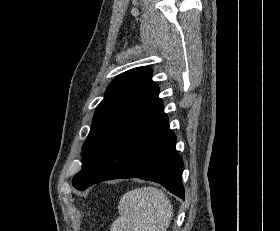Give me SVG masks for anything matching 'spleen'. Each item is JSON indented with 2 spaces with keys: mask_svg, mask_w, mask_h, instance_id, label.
Instances as JSON below:
<instances>
[{
  "mask_svg": "<svg viewBox=\"0 0 280 231\" xmlns=\"http://www.w3.org/2000/svg\"><path fill=\"white\" fill-rule=\"evenodd\" d=\"M119 217L110 231H166L172 219L170 199L158 187H137L122 195Z\"/></svg>",
  "mask_w": 280,
  "mask_h": 231,
  "instance_id": "1",
  "label": "spleen"
}]
</instances>
